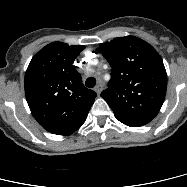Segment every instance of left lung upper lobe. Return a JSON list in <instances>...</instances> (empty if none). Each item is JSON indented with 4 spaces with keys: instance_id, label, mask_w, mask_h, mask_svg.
Instances as JSON below:
<instances>
[{
    "instance_id": "1",
    "label": "left lung upper lobe",
    "mask_w": 187,
    "mask_h": 187,
    "mask_svg": "<svg viewBox=\"0 0 187 187\" xmlns=\"http://www.w3.org/2000/svg\"><path fill=\"white\" fill-rule=\"evenodd\" d=\"M99 49L112 67L111 80L101 97L117 120L130 127L152 121L161 109L167 88L160 55L150 44L134 36L102 43Z\"/></svg>"
}]
</instances>
